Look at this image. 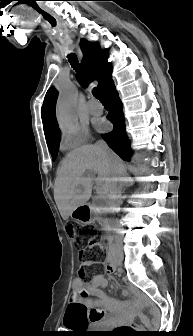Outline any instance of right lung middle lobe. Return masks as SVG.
Masks as SVG:
<instances>
[{
	"instance_id": "dd1d6c3e",
	"label": "right lung middle lobe",
	"mask_w": 193,
	"mask_h": 336,
	"mask_svg": "<svg viewBox=\"0 0 193 336\" xmlns=\"http://www.w3.org/2000/svg\"><path fill=\"white\" fill-rule=\"evenodd\" d=\"M59 143H60V136L55 137L54 139H52L47 143L53 161L56 159L59 150Z\"/></svg>"
}]
</instances>
